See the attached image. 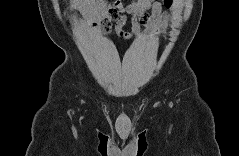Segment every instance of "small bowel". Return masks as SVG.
Returning <instances> with one entry per match:
<instances>
[{
  "label": "small bowel",
  "mask_w": 239,
  "mask_h": 156,
  "mask_svg": "<svg viewBox=\"0 0 239 156\" xmlns=\"http://www.w3.org/2000/svg\"><path fill=\"white\" fill-rule=\"evenodd\" d=\"M73 3L94 25H101L104 33L113 29L118 37L130 40L140 34L142 27L147 29L150 38L165 32L169 18L165 8H170L173 1L134 0L122 3L116 0L108 3L75 0ZM128 21L131 29L126 31L124 26Z\"/></svg>",
  "instance_id": "obj_1"
}]
</instances>
